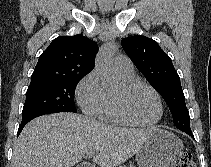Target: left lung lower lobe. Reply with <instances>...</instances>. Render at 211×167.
Wrapping results in <instances>:
<instances>
[{"label":"left lung lower lobe","instance_id":"1","mask_svg":"<svg viewBox=\"0 0 211 167\" xmlns=\"http://www.w3.org/2000/svg\"><path fill=\"white\" fill-rule=\"evenodd\" d=\"M184 132L193 137V134H192L191 130H185Z\"/></svg>","mask_w":211,"mask_h":167}]
</instances>
